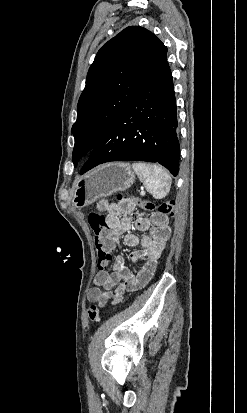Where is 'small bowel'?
Masks as SVG:
<instances>
[{"label":"small bowel","instance_id":"c3829d8e","mask_svg":"<svg viewBox=\"0 0 247 413\" xmlns=\"http://www.w3.org/2000/svg\"><path fill=\"white\" fill-rule=\"evenodd\" d=\"M96 208L99 212L107 213L106 224L111 244L118 243L119 236L124 235L126 246H141L140 250L131 255L136 265L135 272L126 266L122 256H117L110 271L105 267L104 271L97 273L94 278L95 286L87 292V300L91 303H97L99 306L109 302L118 304L122 301L125 291L141 290L151 281L157 268V261L166 248L171 229L168 220L156 225L152 217L135 218L134 205L131 203H110L107 200H100ZM132 227L143 232L141 237L129 232Z\"/></svg>","mask_w":247,"mask_h":413}]
</instances>
